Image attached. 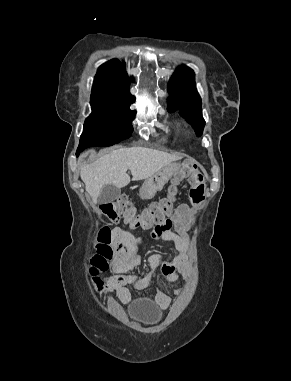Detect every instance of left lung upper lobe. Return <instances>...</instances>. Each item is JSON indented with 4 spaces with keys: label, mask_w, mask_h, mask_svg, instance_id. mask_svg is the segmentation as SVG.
Segmentation results:
<instances>
[{
    "label": "left lung upper lobe",
    "mask_w": 291,
    "mask_h": 381,
    "mask_svg": "<svg viewBox=\"0 0 291 381\" xmlns=\"http://www.w3.org/2000/svg\"><path fill=\"white\" fill-rule=\"evenodd\" d=\"M168 91V111L179 110L180 115L200 136L205 121L202 117L201 99L196 90L194 72L186 66L178 67L169 81Z\"/></svg>",
    "instance_id": "1"
}]
</instances>
